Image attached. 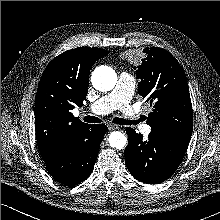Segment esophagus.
Returning <instances> with one entry per match:
<instances>
[{
  "label": "esophagus",
  "mask_w": 220,
  "mask_h": 220,
  "mask_svg": "<svg viewBox=\"0 0 220 220\" xmlns=\"http://www.w3.org/2000/svg\"><path fill=\"white\" fill-rule=\"evenodd\" d=\"M107 126H108V129H109V130H115V129H118V128H119L118 125L111 124V123H109Z\"/></svg>",
  "instance_id": "1"
}]
</instances>
